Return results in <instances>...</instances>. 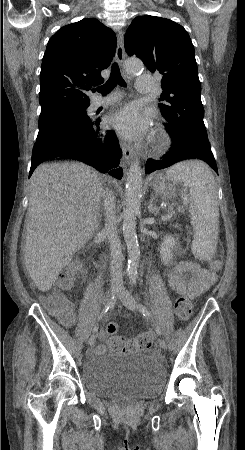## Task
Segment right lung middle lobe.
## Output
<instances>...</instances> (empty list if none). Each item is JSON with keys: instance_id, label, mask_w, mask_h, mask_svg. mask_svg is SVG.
Segmentation results:
<instances>
[{"instance_id": "obj_1", "label": "right lung middle lobe", "mask_w": 245, "mask_h": 450, "mask_svg": "<svg viewBox=\"0 0 245 450\" xmlns=\"http://www.w3.org/2000/svg\"><path fill=\"white\" fill-rule=\"evenodd\" d=\"M88 106H61L41 111L36 145L54 137L58 129L69 126L70 123L76 122L75 120L87 121Z\"/></svg>"}]
</instances>
